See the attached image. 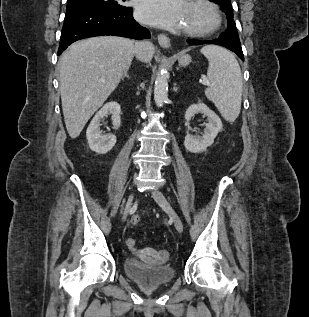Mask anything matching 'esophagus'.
Returning <instances> with one entry per match:
<instances>
[{
	"mask_svg": "<svg viewBox=\"0 0 309 317\" xmlns=\"http://www.w3.org/2000/svg\"><path fill=\"white\" fill-rule=\"evenodd\" d=\"M158 43L162 48H169L170 47V38L166 36L165 34H159L158 37Z\"/></svg>",
	"mask_w": 309,
	"mask_h": 317,
	"instance_id": "esophagus-1",
	"label": "esophagus"
}]
</instances>
